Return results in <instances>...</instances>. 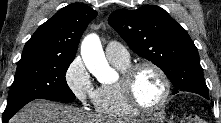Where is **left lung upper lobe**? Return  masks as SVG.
<instances>
[{
    "label": "left lung upper lobe",
    "instance_id": "left-lung-upper-lobe-1",
    "mask_svg": "<svg viewBox=\"0 0 221 123\" xmlns=\"http://www.w3.org/2000/svg\"><path fill=\"white\" fill-rule=\"evenodd\" d=\"M108 21L136 54L164 71L174 94L189 91L209 97L196 46L164 9L156 5L120 9Z\"/></svg>",
    "mask_w": 221,
    "mask_h": 123
}]
</instances>
